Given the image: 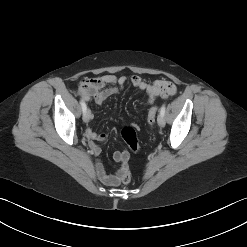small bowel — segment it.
Here are the masks:
<instances>
[{"label":"small bowel","mask_w":247,"mask_h":247,"mask_svg":"<svg viewBox=\"0 0 247 247\" xmlns=\"http://www.w3.org/2000/svg\"><path fill=\"white\" fill-rule=\"evenodd\" d=\"M128 81L131 85L147 94L149 104H152L158 97L167 98L176 93V86L168 80H158L149 83L138 75H131L127 78L113 74H104L82 80L79 84L78 92L85 101L102 104L107 98L119 92ZM85 134L90 140L91 150L95 156H98L101 150L94 141L105 142L107 135L104 133L97 134L91 129H87ZM114 159L122 163L120 169L114 174L106 173L100 160H96L95 163L97 176L104 184L109 186L119 185L121 176L128 171L127 161L129 155L127 153L124 154L123 152L116 151Z\"/></svg>","instance_id":"1"}]
</instances>
